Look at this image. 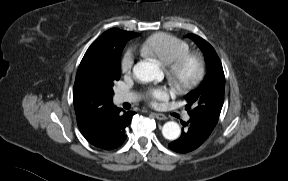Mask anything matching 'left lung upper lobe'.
Wrapping results in <instances>:
<instances>
[{
  "instance_id": "1",
  "label": "left lung upper lobe",
  "mask_w": 288,
  "mask_h": 181,
  "mask_svg": "<svg viewBox=\"0 0 288 181\" xmlns=\"http://www.w3.org/2000/svg\"><path fill=\"white\" fill-rule=\"evenodd\" d=\"M202 50L208 72L202 84L185 96L186 110L190 116H199L217 124L224 101L225 77L221 61L214 48L201 37L188 34Z\"/></svg>"
}]
</instances>
